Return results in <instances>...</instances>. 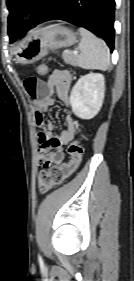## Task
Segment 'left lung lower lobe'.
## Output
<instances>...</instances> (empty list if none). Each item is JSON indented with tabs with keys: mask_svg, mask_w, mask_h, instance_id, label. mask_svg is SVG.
Returning a JSON list of instances; mask_svg holds the SVG:
<instances>
[{
	"mask_svg": "<svg viewBox=\"0 0 134 281\" xmlns=\"http://www.w3.org/2000/svg\"><path fill=\"white\" fill-rule=\"evenodd\" d=\"M114 10V0H48L34 26L48 20H65L98 34L113 51Z\"/></svg>",
	"mask_w": 134,
	"mask_h": 281,
	"instance_id": "obj_1",
	"label": "left lung lower lobe"
}]
</instances>
